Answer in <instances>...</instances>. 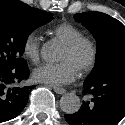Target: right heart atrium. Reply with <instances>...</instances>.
<instances>
[{"mask_svg":"<svg viewBox=\"0 0 125 125\" xmlns=\"http://www.w3.org/2000/svg\"><path fill=\"white\" fill-rule=\"evenodd\" d=\"M41 37L32 32L26 36L23 42V55L31 62L36 63L40 56Z\"/></svg>","mask_w":125,"mask_h":125,"instance_id":"right-heart-atrium-1","label":"right heart atrium"}]
</instances>
